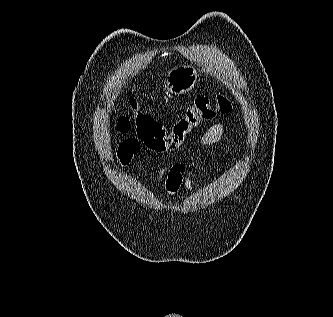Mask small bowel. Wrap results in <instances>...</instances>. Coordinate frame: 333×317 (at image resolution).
Returning <instances> with one entry per match:
<instances>
[{"instance_id":"small-bowel-1","label":"small bowel","mask_w":333,"mask_h":317,"mask_svg":"<svg viewBox=\"0 0 333 317\" xmlns=\"http://www.w3.org/2000/svg\"><path fill=\"white\" fill-rule=\"evenodd\" d=\"M225 123L218 122L210 126L199 138L200 146H211L217 144L223 137ZM141 143L138 138H128L118 147L116 157L120 166L126 167L133 157L140 152ZM219 162L224 160L214 155ZM194 169L186 162L167 163L161 166L157 171L156 184L158 188H163L170 196H176L181 189L192 192V176Z\"/></svg>"}]
</instances>
